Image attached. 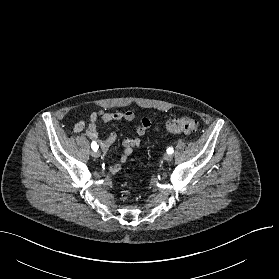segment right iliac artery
I'll return each instance as SVG.
<instances>
[{
  "label": "right iliac artery",
  "instance_id": "1",
  "mask_svg": "<svg viewBox=\"0 0 279 279\" xmlns=\"http://www.w3.org/2000/svg\"><path fill=\"white\" fill-rule=\"evenodd\" d=\"M91 148H92L94 151H97V149H98V145H97V143L92 142V144H91Z\"/></svg>",
  "mask_w": 279,
  "mask_h": 279
}]
</instances>
